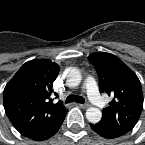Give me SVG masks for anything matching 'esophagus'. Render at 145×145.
Wrapping results in <instances>:
<instances>
[{
	"mask_svg": "<svg viewBox=\"0 0 145 145\" xmlns=\"http://www.w3.org/2000/svg\"><path fill=\"white\" fill-rule=\"evenodd\" d=\"M76 105L84 109L89 107V104H76Z\"/></svg>",
	"mask_w": 145,
	"mask_h": 145,
	"instance_id": "34e87169",
	"label": "esophagus"
}]
</instances>
